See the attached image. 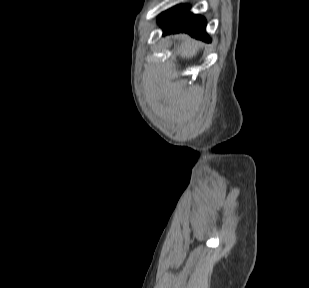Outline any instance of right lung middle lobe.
Listing matches in <instances>:
<instances>
[{"instance_id": "obj_1", "label": "right lung middle lobe", "mask_w": 309, "mask_h": 288, "mask_svg": "<svg viewBox=\"0 0 309 288\" xmlns=\"http://www.w3.org/2000/svg\"><path fill=\"white\" fill-rule=\"evenodd\" d=\"M176 9V8H175ZM175 9H171L168 10L166 12H163L159 17H158V22H160L167 14H169L171 11L175 10Z\"/></svg>"}]
</instances>
